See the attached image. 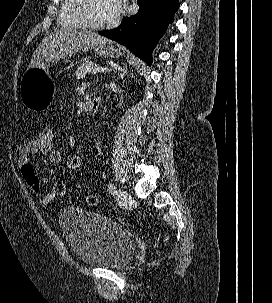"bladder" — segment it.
Masks as SVG:
<instances>
[{"instance_id": "bladder-1", "label": "bladder", "mask_w": 272, "mask_h": 303, "mask_svg": "<svg viewBox=\"0 0 272 303\" xmlns=\"http://www.w3.org/2000/svg\"><path fill=\"white\" fill-rule=\"evenodd\" d=\"M58 225L72 252L86 266L119 269L134 256L133 235L104 215L67 207L59 213Z\"/></svg>"}]
</instances>
